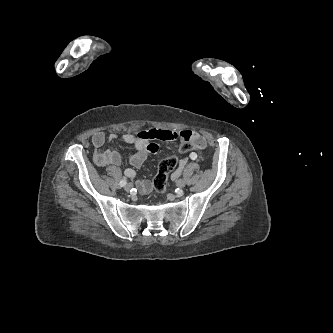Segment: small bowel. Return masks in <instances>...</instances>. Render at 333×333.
Here are the masks:
<instances>
[{"mask_svg": "<svg viewBox=\"0 0 333 333\" xmlns=\"http://www.w3.org/2000/svg\"><path fill=\"white\" fill-rule=\"evenodd\" d=\"M177 139H188L197 148L203 149L207 146V139L198 132L191 130L169 131L161 129H146L138 132L137 134H123L118 136L111 134L109 140H119L125 144H131L135 148L134 154L129 158V162L133 168L125 170V176L133 178L135 176L134 168H139L143 165L149 155L155 154L159 150V145L155 142L171 141ZM92 145L94 148L93 160L99 167L118 166L121 162V157L118 152L110 149H104L106 136L103 132L99 131L92 135ZM188 159L196 160L197 154L191 152L187 158L180 161L177 170L173 174V179H176L182 173L185 168ZM139 189L143 194H149L152 191L151 185L148 181H141L139 183Z\"/></svg>", "mask_w": 333, "mask_h": 333, "instance_id": "c3829d8e", "label": "small bowel"}]
</instances>
